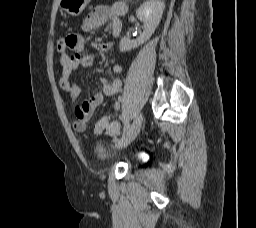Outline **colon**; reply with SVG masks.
<instances>
[{
    "label": "colon",
    "mask_w": 256,
    "mask_h": 228,
    "mask_svg": "<svg viewBox=\"0 0 256 228\" xmlns=\"http://www.w3.org/2000/svg\"><path fill=\"white\" fill-rule=\"evenodd\" d=\"M58 46L61 47L62 46V39L59 40L58 42ZM111 123L110 119L108 116H103L100 119L97 120V122L95 123V132L96 133H101L103 132L105 129H107L108 125Z\"/></svg>",
    "instance_id": "obj_1"
}]
</instances>
